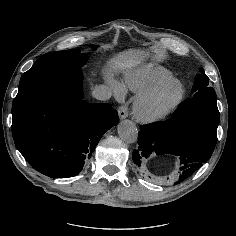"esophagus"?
Masks as SVG:
<instances>
[{"label":"esophagus","mask_w":236,"mask_h":236,"mask_svg":"<svg viewBox=\"0 0 236 236\" xmlns=\"http://www.w3.org/2000/svg\"><path fill=\"white\" fill-rule=\"evenodd\" d=\"M118 115L121 120L125 119L128 116V106L127 105L120 106L118 109Z\"/></svg>","instance_id":"1"}]
</instances>
